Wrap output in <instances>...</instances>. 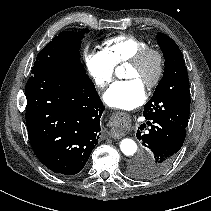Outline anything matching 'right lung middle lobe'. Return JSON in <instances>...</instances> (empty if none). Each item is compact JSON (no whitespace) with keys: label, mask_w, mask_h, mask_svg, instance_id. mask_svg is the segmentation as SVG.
Instances as JSON below:
<instances>
[{"label":"right lung middle lobe","mask_w":211,"mask_h":211,"mask_svg":"<svg viewBox=\"0 0 211 211\" xmlns=\"http://www.w3.org/2000/svg\"><path fill=\"white\" fill-rule=\"evenodd\" d=\"M88 31V29H82L79 32H61L44 47L40 54H57L78 71L86 73L85 68L80 61L79 49L81 47V39L84 37V33H87Z\"/></svg>","instance_id":"obj_1"}]
</instances>
